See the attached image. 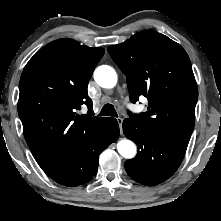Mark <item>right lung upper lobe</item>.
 <instances>
[{
	"label": "right lung upper lobe",
	"instance_id": "right-lung-upper-lobe-1",
	"mask_svg": "<svg viewBox=\"0 0 221 221\" xmlns=\"http://www.w3.org/2000/svg\"><path fill=\"white\" fill-rule=\"evenodd\" d=\"M104 55L101 47L59 39L26 64L19 84L18 112L27 144L42 169L88 138L104 120L94 116L87 86ZM82 105L88 113L76 114Z\"/></svg>",
	"mask_w": 221,
	"mask_h": 221
}]
</instances>
